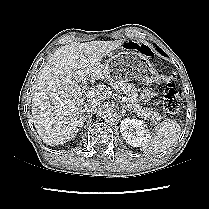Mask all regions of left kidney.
<instances>
[{
  "label": "left kidney",
  "mask_w": 209,
  "mask_h": 209,
  "mask_svg": "<svg viewBox=\"0 0 209 209\" xmlns=\"http://www.w3.org/2000/svg\"><path fill=\"white\" fill-rule=\"evenodd\" d=\"M120 132L128 144L133 147H142L149 138L143 121L138 119H124L120 124Z\"/></svg>",
  "instance_id": "1"
}]
</instances>
